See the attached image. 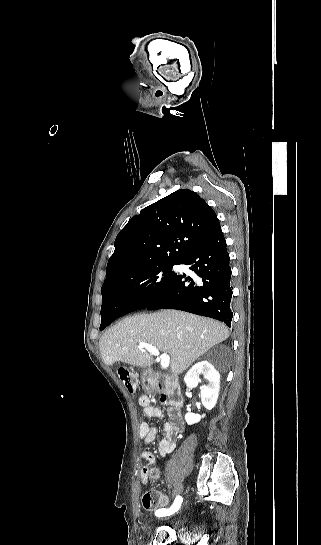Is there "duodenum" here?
I'll return each instance as SVG.
<instances>
[{
  "label": "duodenum",
  "mask_w": 321,
  "mask_h": 545,
  "mask_svg": "<svg viewBox=\"0 0 321 545\" xmlns=\"http://www.w3.org/2000/svg\"><path fill=\"white\" fill-rule=\"evenodd\" d=\"M145 378L148 386L160 393L162 402L176 409L182 406L183 397L181 391L172 379L153 371H147Z\"/></svg>",
  "instance_id": "410a0bca"
}]
</instances>
